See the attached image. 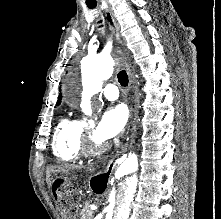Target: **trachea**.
I'll use <instances>...</instances> for the list:
<instances>
[{
    "label": "trachea",
    "instance_id": "obj_1",
    "mask_svg": "<svg viewBox=\"0 0 221 219\" xmlns=\"http://www.w3.org/2000/svg\"><path fill=\"white\" fill-rule=\"evenodd\" d=\"M86 4H87V7L90 9H93L96 7L95 2H87ZM100 23H101V21H100ZM117 78H118V82L121 84V86L125 87L128 85V81H129L128 75L124 70H122L118 73Z\"/></svg>",
    "mask_w": 221,
    "mask_h": 219
}]
</instances>
